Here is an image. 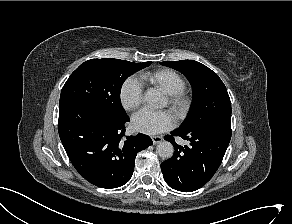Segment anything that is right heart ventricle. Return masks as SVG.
Instances as JSON below:
<instances>
[{
  "label": "right heart ventricle",
  "mask_w": 292,
  "mask_h": 224,
  "mask_svg": "<svg viewBox=\"0 0 292 224\" xmlns=\"http://www.w3.org/2000/svg\"><path fill=\"white\" fill-rule=\"evenodd\" d=\"M141 78L166 94L182 92L186 87V82L183 77L171 69L148 72L143 74Z\"/></svg>",
  "instance_id": "obj_1"
}]
</instances>
